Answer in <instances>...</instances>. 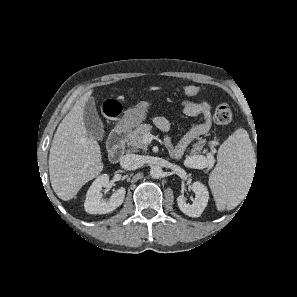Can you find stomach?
I'll return each instance as SVG.
<instances>
[{
  "label": "stomach",
  "mask_w": 297,
  "mask_h": 297,
  "mask_svg": "<svg viewBox=\"0 0 297 297\" xmlns=\"http://www.w3.org/2000/svg\"><path fill=\"white\" fill-rule=\"evenodd\" d=\"M150 103L147 101H142L136 105L134 108H130L124 112V115L118 127L120 129H127L134 127L146 119Z\"/></svg>",
  "instance_id": "0dacf381"
}]
</instances>
